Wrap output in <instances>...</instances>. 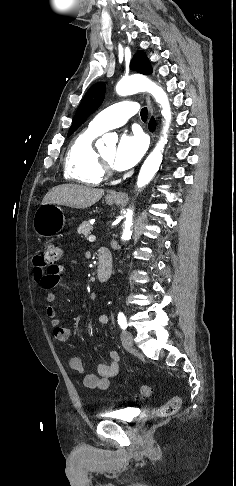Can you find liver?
Returning a JSON list of instances; mask_svg holds the SVG:
<instances>
[{"label": "liver", "instance_id": "liver-1", "mask_svg": "<svg viewBox=\"0 0 236 486\" xmlns=\"http://www.w3.org/2000/svg\"><path fill=\"white\" fill-rule=\"evenodd\" d=\"M103 195V189L76 184H64L50 189L44 196L42 204L51 203L82 209L92 206Z\"/></svg>", "mask_w": 236, "mask_h": 486}]
</instances>
